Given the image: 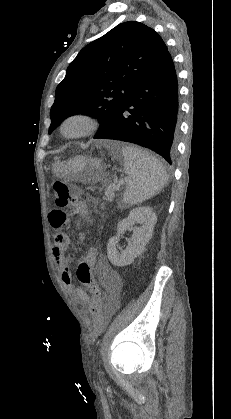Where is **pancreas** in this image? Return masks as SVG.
<instances>
[{"instance_id": "1", "label": "pancreas", "mask_w": 231, "mask_h": 419, "mask_svg": "<svg viewBox=\"0 0 231 419\" xmlns=\"http://www.w3.org/2000/svg\"><path fill=\"white\" fill-rule=\"evenodd\" d=\"M104 200L106 201V202H111L112 201V199L114 198V189H109V188H107V190L105 191V193H104Z\"/></svg>"}]
</instances>
